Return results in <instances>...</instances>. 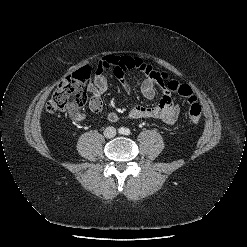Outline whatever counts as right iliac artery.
<instances>
[{
  "mask_svg": "<svg viewBox=\"0 0 247 247\" xmlns=\"http://www.w3.org/2000/svg\"><path fill=\"white\" fill-rule=\"evenodd\" d=\"M119 133H120V134L124 133V129H123V128H120V129H119Z\"/></svg>",
  "mask_w": 247,
  "mask_h": 247,
  "instance_id": "right-iliac-artery-1",
  "label": "right iliac artery"
}]
</instances>
